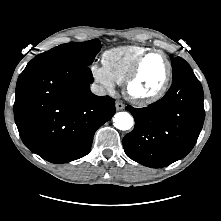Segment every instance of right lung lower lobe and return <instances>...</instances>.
<instances>
[{
  "label": "right lung lower lobe",
  "instance_id": "obj_1",
  "mask_svg": "<svg viewBox=\"0 0 221 221\" xmlns=\"http://www.w3.org/2000/svg\"><path fill=\"white\" fill-rule=\"evenodd\" d=\"M92 72L68 62H29L20 74L14 103L23 143L52 163L90 152L96 130L115 113L114 99L90 91Z\"/></svg>",
  "mask_w": 221,
  "mask_h": 221
}]
</instances>
